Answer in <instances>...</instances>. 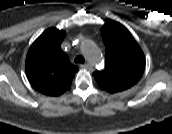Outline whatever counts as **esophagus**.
<instances>
[{"mask_svg": "<svg viewBox=\"0 0 172 134\" xmlns=\"http://www.w3.org/2000/svg\"><path fill=\"white\" fill-rule=\"evenodd\" d=\"M80 66L83 67V68L89 69V70H92L93 69L92 65L89 64V63H85V64L80 65Z\"/></svg>", "mask_w": 172, "mask_h": 134, "instance_id": "1", "label": "esophagus"}]
</instances>
